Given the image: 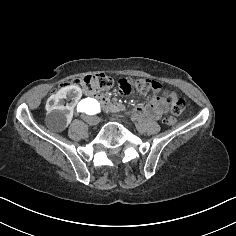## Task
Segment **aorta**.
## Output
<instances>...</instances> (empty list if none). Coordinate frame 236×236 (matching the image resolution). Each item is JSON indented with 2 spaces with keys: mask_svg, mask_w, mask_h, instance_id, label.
Here are the masks:
<instances>
[{
  "mask_svg": "<svg viewBox=\"0 0 236 236\" xmlns=\"http://www.w3.org/2000/svg\"><path fill=\"white\" fill-rule=\"evenodd\" d=\"M99 102L94 98H86L81 105L83 115L95 114L99 111Z\"/></svg>",
  "mask_w": 236,
  "mask_h": 236,
  "instance_id": "1",
  "label": "aorta"
}]
</instances>
